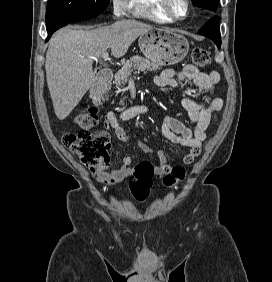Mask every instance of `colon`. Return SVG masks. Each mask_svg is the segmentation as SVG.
<instances>
[{
    "label": "colon",
    "mask_w": 272,
    "mask_h": 282,
    "mask_svg": "<svg viewBox=\"0 0 272 282\" xmlns=\"http://www.w3.org/2000/svg\"><path fill=\"white\" fill-rule=\"evenodd\" d=\"M209 53L200 47H195L192 51V61L194 65L205 67L210 63ZM99 120L97 109L87 106L81 109L74 116V123L79 126L78 131L67 132L62 136L63 145L73 154L80 158L83 165L90 169L106 171L109 167V151L111 149L110 137L107 132L100 131L94 133L92 129ZM151 166L147 162H141L136 167L129 179V187L133 196L138 201H144L150 190ZM183 167H174L164 177V185L173 187L184 177Z\"/></svg>",
    "instance_id": "colon-1"
}]
</instances>
